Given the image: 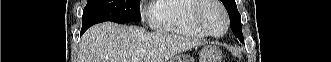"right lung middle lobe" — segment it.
<instances>
[{"label":"right lung middle lobe","instance_id":"1","mask_svg":"<svg viewBox=\"0 0 331 62\" xmlns=\"http://www.w3.org/2000/svg\"><path fill=\"white\" fill-rule=\"evenodd\" d=\"M138 0H88L83 10V33L96 23L112 21L119 24L140 21Z\"/></svg>","mask_w":331,"mask_h":62}]
</instances>
